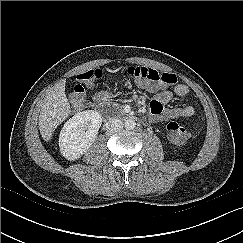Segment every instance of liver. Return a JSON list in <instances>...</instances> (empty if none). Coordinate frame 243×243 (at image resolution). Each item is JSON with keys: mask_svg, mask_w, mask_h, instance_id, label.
<instances>
[{"mask_svg": "<svg viewBox=\"0 0 243 243\" xmlns=\"http://www.w3.org/2000/svg\"><path fill=\"white\" fill-rule=\"evenodd\" d=\"M70 104L65 94V83H57L44 99L39 115L42 138L49 141L55 129L69 116Z\"/></svg>", "mask_w": 243, "mask_h": 243, "instance_id": "liver-1", "label": "liver"}]
</instances>
